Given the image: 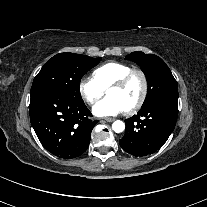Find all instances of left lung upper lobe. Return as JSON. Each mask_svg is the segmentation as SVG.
<instances>
[{
  "instance_id": "5c2ea615",
  "label": "left lung upper lobe",
  "mask_w": 207,
  "mask_h": 207,
  "mask_svg": "<svg viewBox=\"0 0 207 207\" xmlns=\"http://www.w3.org/2000/svg\"><path fill=\"white\" fill-rule=\"evenodd\" d=\"M126 59L137 63L147 78L148 93L142 107L161 96L178 95L177 82L160 57L137 51L127 55Z\"/></svg>"
}]
</instances>
